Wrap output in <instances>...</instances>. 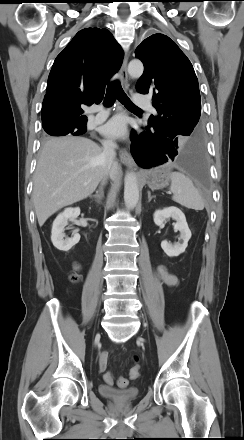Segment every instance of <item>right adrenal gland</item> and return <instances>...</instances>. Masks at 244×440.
Masks as SVG:
<instances>
[{"mask_svg":"<svg viewBox=\"0 0 244 440\" xmlns=\"http://www.w3.org/2000/svg\"><path fill=\"white\" fill-rule=\"evenodd\" d=\"M103 197H104V191H103L102 187L98 191H96L95 195L91 196V198H95L96 199L98 204L101 203V200L103 199Z\"/></svg>","mask_w":244,"mask_h":440,"instance_id":"2a0ac1e0","label":"right adrenal gland"}]
</instances>
